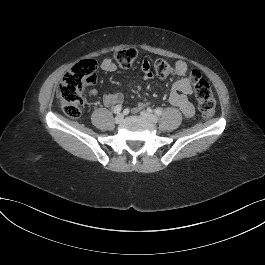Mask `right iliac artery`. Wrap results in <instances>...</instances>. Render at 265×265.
<instances>
[{"label": "right iliac artery", "instance_id": "obj_1", "mask_svg": "<svg viewBox=\"0 0 265 265\" xmlns=\"http://www.w3.org/2000/svg\"><path fill=\"white\" fill-rule=\"evenodd\" d=\"M121 109H122V106L119 104V105H116L113 109V112L115 114H119L121 112Z\"/></svg>", "mask_w": 265, "mask_h": 265}]
</instances>
